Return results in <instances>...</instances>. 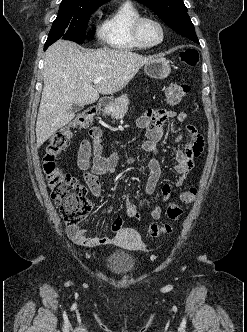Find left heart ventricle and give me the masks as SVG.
Segmentation results:
<instances>
[{
    "instance_id": "1",
    "label": "left heart ventricle",
    "mask_w": 247,
    "mask_h": 332,
    "mask_svg": "<svg viewBox=\"0 0 247 332\" xmlns=\"http://www.w3.org/2000/svg\"><path fill=\"white\" fill-rule=\"evenodd\" d=\"M141 36L148 44L156 43L160 40L161 32L153 21H145L141 26Z\"/></svg>"
}]
</instances>
